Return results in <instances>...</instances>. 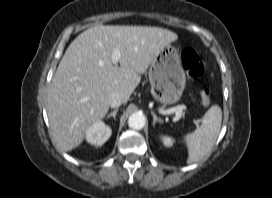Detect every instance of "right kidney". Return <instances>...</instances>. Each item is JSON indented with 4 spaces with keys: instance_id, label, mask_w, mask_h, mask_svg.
<instances>
[{
    "instance_id": "right-kidney-1",
    "label": "right kidney",
    "mask_w": 272,
    "mask_h": 198,
    "mask_svg": "<svg viewBox=\"0 0 272 198\" xmlns=\"http://www.w3.org/2000/svg\"><path fill=\"white\" fill-rule=\"evenodd\" d=\"M112 130L102 121H97L86 131V140L95 146H102L111 136Z\"/></svg>"
}]
</instances>
